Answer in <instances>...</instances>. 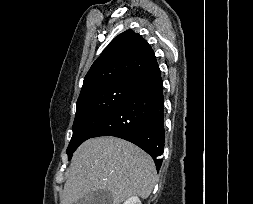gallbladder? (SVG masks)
<instances>
[{"label": "gallbladder", "instance_id": "gallbladder-1", "mask_svg": "<svg viewBox=\"0 0 253 204\" xmlns=\"http://www.w3.org/2000/svg\"><path fill=\"white\" fill-rule=\"evenodd\" d=\"M75 204H113V198L108 190H96Z\"/></svg>", "mask_w": 253, "mask_h": 204}]
</instances>
